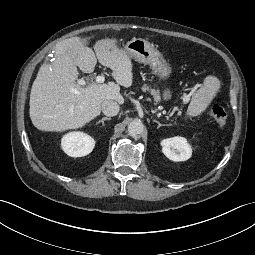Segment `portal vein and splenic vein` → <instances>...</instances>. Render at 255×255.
Segmentation results:
<instances>
[{"label":"portal vein and splenic vein","instance_id":"18ae733b","mask_svg":"<svg viewBox=\"0 0 255 255\" xmlns=\"http://www.w3.org/2000/svg\"><path fill=\"white\" fill-rule=\"evenodd\" d=\"M104 81H105V77L103 75H99V76L96 77V82L97 83H103ZM77 82H78L79 86L86 85V81H84L82 79L78 80Z\"/></svg>","mask_w":255,"mask_h":255}]
</instances>
